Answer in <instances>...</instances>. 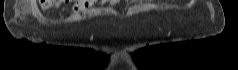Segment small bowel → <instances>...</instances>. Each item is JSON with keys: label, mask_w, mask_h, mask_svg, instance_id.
Here are the masks:
<instances>
[{"label": "small bowel", "mask_w": 238, "mask_h": 70, "mask_svg": "<svg viewBox=\"0 0 238 70\" xmlns=\"http://www.w3.org/2000/svg\"><path fill=\"white\" fill-rule=\"evenodd\" d=\"M118 2H119L118 0H109V1H107V0H102V1L100 2V4L103 5V4H105V3H108V4H110V5H115V4H117ZM126 2H128V1H126ZM89 3H90L89 0H78V1L76 2V4H75L74 8H73V12H78V11L82 10L84 7L88 6Z\"/></svg>", "instance_id": "obj_1"}]
</instances>
